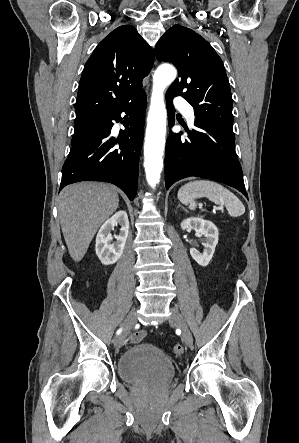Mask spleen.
I'll list each match as a JSON object with an SVG mask.
<instances>
[{
  "mask_svg": "<svg viewBox=\"0 0 299 443\" xmlns=\"http://www.w3.org/2000/svg\"><path fill=\"white\" fill-rule=\"evenodd\" d=\"M206 197L215 204L225 205L232 217L245 213V207L239 198L224 186L209 180H196L183 185L178 191V199L190 210H195V199Z\"/></svg>",
  "mask_w": 299,
  "mask_h": 443,
  "instance_id": "spleen-1",
  "label": "spleen"
}]
</instances>
